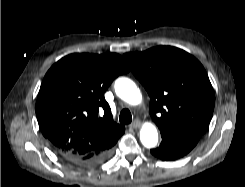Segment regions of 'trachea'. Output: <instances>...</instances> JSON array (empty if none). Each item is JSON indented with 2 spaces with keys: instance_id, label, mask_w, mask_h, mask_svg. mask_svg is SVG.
I'll return each mask as SVG.
<instances>
[{
  "instance_id": "obj_1",
  "label": "trachea",
  "mask_w": 245,
  "mask_h": 187,
  "mask_svg": "<svg viewBox=\"0 0 245 187\" xmlns=\"http://www.w3.org/2000/svg\"><path fill=\"white\" fill-rule=\"evenodd\" d=\"M119 121L122 124H129L132 121L131 112L128 109H123L120 112Z\"/></svg>"
}]
</instances>
